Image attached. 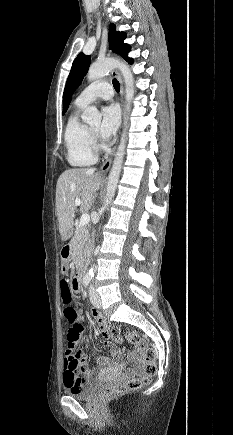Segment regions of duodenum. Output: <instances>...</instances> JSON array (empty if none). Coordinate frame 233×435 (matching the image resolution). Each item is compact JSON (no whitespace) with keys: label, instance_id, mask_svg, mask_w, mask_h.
<instances>
[{"label":"duodenum","instance_id":"410a0bca","mask_svg":"<svg viewBox=\"0 0 233 435\" xmlns=\"http://www.w3.org/2000/svg\"><path fill=\"white\" fill-rule=\"evenodd\" d=\"M71 246H69V245H66L63 249H62V252H61V260H62V262L64 263V264H66L67 263V261H68V259H69V257H70V254H71ZM84 273H85V269L84 268H81V269H79V271H78V273H77V280L79 281V282H81V280H82V278H83V276H84Z\"/></svg>","mask_w":233,"mask_h":435}]
</instances>
